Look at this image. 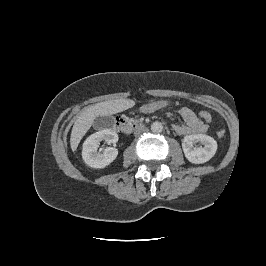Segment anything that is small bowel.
<instances>
[{
	"instance_id": "obj_1",
	"label": "small bowel",
	"mask_w": 266,
	"mask_h": 266,
	"mask_svg": "<svg viewBox=\"0 0 266 266\" xmlns=\"http://www.w3.org/2000/svg\"><path fill=\"white\" fill-rule=\"evenodd\" d=\"M179 115L183 118L185 124L174 125V130L179 135L199 134L207 131L208 126L195 114L189 107L178 109Z\"/></svg>"
}]
</instances>
